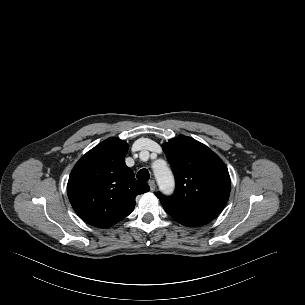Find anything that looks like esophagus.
<instances>
[{"label":"esophagus","mask_w":305,"mask_h":305,"mask_svg":"<svg viewBox=\"0 0 305 305\" xmlns=\"http://www.w3.org/2000/svg\"><path fill=\"white\" fill-rule=\"evenodd\" d=\"M148 184H149V186H150V190H151V191H154L155 188H156L155 181H154V180H150V181L148 182Z\"/></svg>","instance_id":"obj_1"}]
</instances>
